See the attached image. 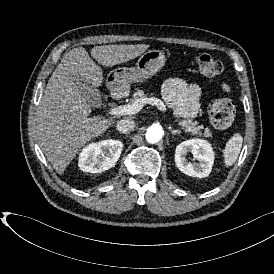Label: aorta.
I'll return each mask as SVG.
<instances>
[{
    "label": "aorta",
    "mask_w": 274,
    "mask_h": 274,
    "mask_svg": "<svg viewBox=\"0 0 274 274\" xmlns=\"http://www.w3.org/2000/svg\"><path fill=\"white\" fill-rule=\"evenodd\" d=\"M163 134L162 127L159 124H153L146 131V140L151 144L157 143L161 140Z\"/></svg>",
    "instance_id": "762f6f07"
}]
</instances>
